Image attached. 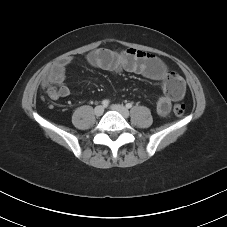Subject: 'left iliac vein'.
Masks as SVG:
<instances>
[{
	"label": "left iliac vein",
	"instance_id": "4c4485c4",
	"mask_svg": "<svg viewBox=\"0 0 227 227\" xmlns=\"http://www.w3.org/2000/svg\"><path fill=\"white\" fill-rule=\"evenodd\" d=\"M112 110L119 112L124 118H127L129 116V111L127 108H125L122 105L114 104L110 107Z\"/></svg>",
	"mask_w": 227,
	"mask_h": 227
}]
</instances>
